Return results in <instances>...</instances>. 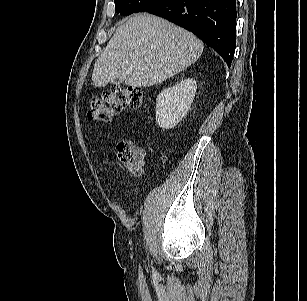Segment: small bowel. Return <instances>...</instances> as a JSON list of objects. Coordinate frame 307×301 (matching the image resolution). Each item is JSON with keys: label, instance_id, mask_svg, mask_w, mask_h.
Listing matches in <instances>:
<instances>
[{"label": "small bowel", "instance_id": "obj_1", "mask_svg": "<svg viewBox=\"0 0 307 301\" xmlns=\"http://www.w3.org/2000/svg\"><path fill=\"white\" fill-rule=\"evenodd\" d=\"M142 153H143V157H142L141 165H142V167H144L145 164H146V156H145L144 152H142Z\"/></svg>", "mask_w": 307, "mask_h": 301}]
</instances>
